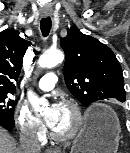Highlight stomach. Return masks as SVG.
Here are the masks:
<instances>
[{
    "mask_svg": "<svg viewBox=\"0 0 130 153\" xmlns=\"http://www.w3.org/2000/svg\"><path fill=\"white\" fill-rule=\"evenodd\" d=\"M121 127L116 113L97 104L74 140L71 153H116Z\"/></svg>",
    "mask_w": 130,
    "mask_h": 153,
    "instance_id": "0dacf381",
    "label": "stomach"
}]
</instances>
